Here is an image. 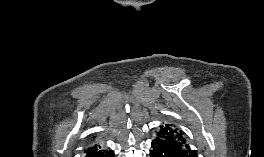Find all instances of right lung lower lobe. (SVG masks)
I'll return each instance as SVG.
<instances>
[{"instance_id":"98d812e1","label":"right lung lower lobe","mask_w":264,"mask_h":157,"mask_svg":"<svg viewBox=\"0 0 264 157\" xmlns=\"http://www.w3.org/2000/svg\"><path fill=\"white\" fill-rule=\"evenodd\" d=\"M84 157H115L112 150L105 149L99 145H92L85 150Z\"/></svg>"}]
</instances>
